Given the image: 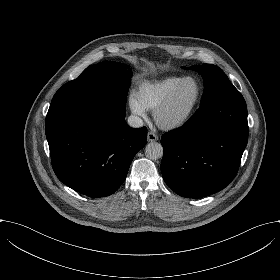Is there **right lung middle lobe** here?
Wrapping results in <instances>:
<instances>
[{
    "label": "right lung middle lobe",
    "mask_w": 280,
    "mask_h": 280,
    "mask_svg": "<svg viewBox=\"0 0 280 280\" xmlns=\"http://www.w3.org/2000/svg\"><path fill=\"white\" fill-rule=\"evenodd\" d=\"M131 76L130 66L105 61L87 67L78 78L67 82L58 91L91 94L111 104L125 107Z\"/></svg>",
    "instance_id": "1"
}]
</instances>
